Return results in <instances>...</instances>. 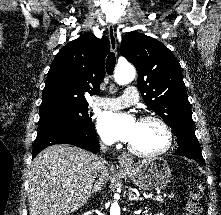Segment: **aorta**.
<instances>
[{
    "instance_id": "762f6f07",
    "label": "aorta",
    "mask_w": 221,
    "mask_h": 215,
    "mask_svg": "<svg viewBox=\"0 0 221 215\" xmlns=\"http://www.w3.org/2000/svg\"><path fill=\"white\" fill-rule=\"evenodd\" d=\"M135 74V68L131 64L118 65L115 69L114 79L117 84L125 85L134 79ZM110 215H120V207L116 200L111 205Z\"/></svg>"
}]
</instances>
